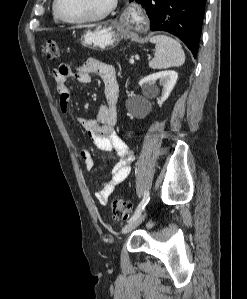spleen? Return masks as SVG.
<instances>
[{"label":"spleen","instance_id":"spleen-1","mask_svg":"<svg viewBox=\"0 0 247 299\" xmlns=\"http://www.w3.org/2000/svg\"><path fill=\"white\" fill-rule=\"evenodd\" d=\"M155 44L154 58L149 62L152 69L179 67L185 62V54L178 41L166 35H155L150 38Z\"/></svg>","mask_w":247,"mask_h":299}]
</instances>
